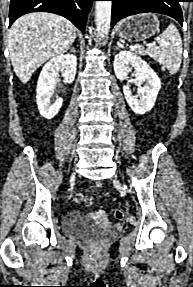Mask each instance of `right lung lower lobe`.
Returning a JSON list of instances; mask_svg holds the SVG:
<instances>
[{
	"label": "right lung lower lobe",
	"mask_w": 193,
	"mask_h": 287,
	"mask_svg": "<svg viewBox=\"0 0 193 287\" xmlns=\"http://www.w3.org/2000/svg\"><path fill=\"white\" fill-rule=\"evenodd\" d=\"M95 0H11L10 24L31 12H51L69 19L81 31L85 30L86 15Z\"/></svg>",
	"instance_id": "right-lung-lower-lobe-1"
}]
</instances>
